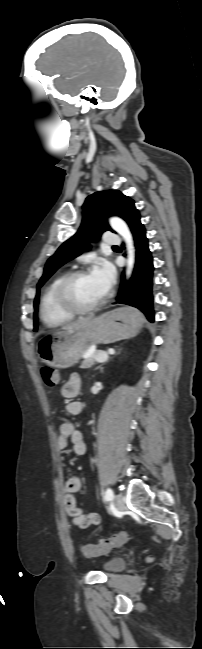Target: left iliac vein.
Masks as SVG:
<instances>
[{"label":"left iliac vein","instance_id":"4c4485c4","mask_svg":"<svg viewBox=\"0 0 202 649\" xmlns=\"http://www.w3.org/2000/svg\"><path fill=\"white\" fill-rule=\"evenodd\" d=\"M114 505L117 510L119 511L124 510V501L120 494L114 496Z\"/></svg>","mask_w":202,"mask_h":649}]
</instances>
